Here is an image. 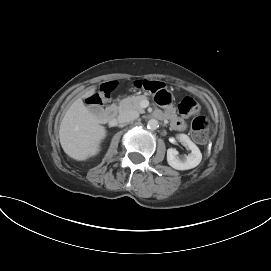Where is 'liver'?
Returning <instances> with one entry per match:
<instances>
[{"mask_svg": "<svg viewBox=\"0 0 271 271\" xmlns=\"http://www.w3.org/2000/svg\"><path fill=\"white\" fill-rule=\"evenodd\" d=\"M95 88L76 99L65 113L59 130V139L64 152L79 161L88 159L106 136L100 120L84 105L82 98H89Z\"/></svg>", "mask_w": 271, "mask_h": 271, "instance_id": "obj_1", "label": "liver"}]
</instances>
